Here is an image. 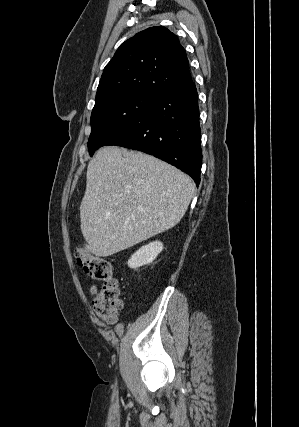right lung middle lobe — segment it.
Returning <instances> with one entry per match:
<instances>
[{"label":"right lung middle lobe","mask_w":299,"mask_h":427,"mask_svg":"<svg viewBox=\"0 0 299 427\" xmlns=\"http://www.w3.org/2000/svg\"><path fill=\"white\" fill-rule=\"evenodd\" d=\"M153 99L141 94L120 93L95 102L88 141L90 155L126 130Z\"/></svg>","instance_id":"1"}]
</instances>
